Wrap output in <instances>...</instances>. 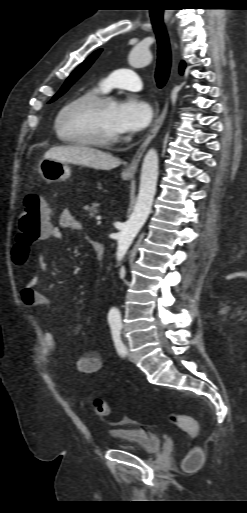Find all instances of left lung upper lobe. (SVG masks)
Listing matches in <instances>:
<instances>
[{
	"label": "left lung upper lobe",
	"instance_id": "left-lung-upper-lobe-1",
	"mask_svg": "<svg viewBox=\"0 0 247 513\" xmlns=\"http://www.w3.org/2000/svg\"><path fill=\"white\" fill-rule=\"evenodd\" d=\"M101 52V49L100 50H97L95 51L94 53H92L80 66H78L73 72L72 74L69 76V78L66 80V82L64 83V85L62 86V88L59 90V92L53 97V99L51 100L54 101L56 100L58 97H60L61 95H63L68 89L69 87L76 81L80 78V76L91 66V64L95 61V59L98 57V55L100 54Z\"/></svg>",
	"mask_w": 247,
	"mask_h": 513
}]
</instances>
